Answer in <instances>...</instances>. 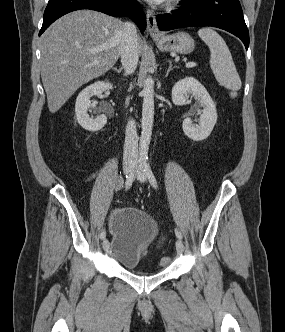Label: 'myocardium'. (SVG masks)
<instances>
[{"label": "myocardium", "mask_w": 285, "mask_h": 332, "mask_svg": "<svg viewBox=\"0 0 285 332\" xmlns=\"http://www.w3.org/2000/svg\"><path fill=\"white\" fill-rule=\"evenodd\" d=\"M180 0H169V6H175Z\"/></svg>", "instance_id": "myocardium-1"}]
</instances>
